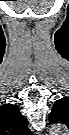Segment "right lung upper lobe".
Wrapping results in <instances>:
<instances>
[{
    "label": "right lung upper lobe",
    "mask_w": 69,
    "mask_h": 135,
    "mask_svg": "<svg viewBox=\"0 0 69 135\" xmlns=\"http://www.w3.org/2000/svg\"><path fill=\"white\" fill-rule=\"evenodd\" d=\"M2 135H32L28 128V120L13 104H5L0 108Z\"/></svg>",
    "instance_id": "right-lung-upper-lobe-1"
}]
</instances>
